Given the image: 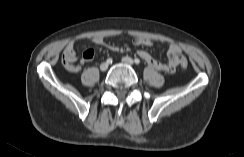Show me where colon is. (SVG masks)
<instances>
[{
    "label": "colon",
    "mask_w": 244,
    "mask_h": 157,
    "mask_svg": "<svg viewBox=\"0 0 244 157\" xmlns=\"http://www.w3.org/2000/svg\"><path fill=\"white\" fill-rule=\"evenodd\" d=\"M62 64L71 72H77L80 69V63L77 61L75 52L64 51L62 55ZM180 65L182 68H186L188 66V61L185 57L181 58Z\"/></svg>",
    "instance_id": "1"
}]
</instances>
